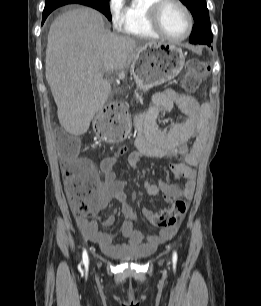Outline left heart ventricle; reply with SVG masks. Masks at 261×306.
Listing matches in <instances>:
<instances>
[{
  "instance_id": "b2bd125f",
  "label": "left heart ventricle",
  "mask_w": 261,
  "mask_h": 306,
  "mask_svg": "<svg viewBox=\"0 0 261 306\" xmlns=\"http://www.w3.org/2000/svg\"><path fill=\"white\" fill-rule=\"evenodd\" d=\"M160 23L164 31L172 37H182L187 31V18L180 7L167 4L160 13Z\"/></svg>"
}]
</instances>
